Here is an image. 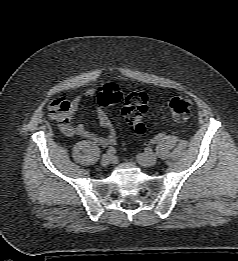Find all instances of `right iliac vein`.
<instances>
[{"mask_svg": "<svg viewBox=\"0 0 238 261\" xmlns=\"http://www.w3.org/2000/svg\"><path fill=\"white\" fill-rule=\"evenodd\" d=\"M112 161H113V156L107 153V154H104V155L102 156L101 164H102L103 166H106V165L112 163Z\"/></svg>", "mask_w": 238, "mask_h": 261, "instance_id": "63e3f726", "label": "right iliac vein"}]
</instances>
